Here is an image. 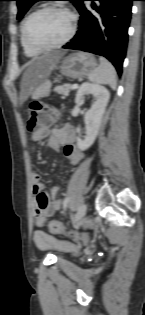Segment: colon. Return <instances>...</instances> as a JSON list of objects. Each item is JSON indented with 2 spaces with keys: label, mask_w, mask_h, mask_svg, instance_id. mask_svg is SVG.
I'll use <instances>...</instances> for the list:
<instances>
[{
  "label": "colon",
  "mask_w": 145,
  "mask_h": 315,
  "mask_svg": "<svg viewBox=\"0 0 145 315\" xmlns=\"http://www.w3.org/2000/svg\"><path fill=\"white\" fill-rule=\"evenodd\" d=\"M57 117L55 110L39 102H33L28 108L27 130L35 133L52 125ZM49 231L55 235L69 234L67 228L59 221L53 220L48 225ZM75 236V234H72Z\"/></svg>",
  "instance_id": "1"
}]
</instances>
